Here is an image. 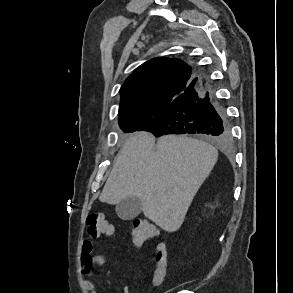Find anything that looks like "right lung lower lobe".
I'll list each match as a JSON object with an SVG mask.
<instances>
[{
    "label": "right lung lower lobe",
    "instance_id": "1",
    "mask_svg": "<svg viewBox=\"0 0 293 293\" xmlns=\"http://www.w3.org/2000/svg\"><path fill=\"white\" fill-rule=\"evenodd\" d=\"M194 79L169 105L136 131H150L159 137L165 134H206L221 143L230 139V129L223 108L199 90Z\"/></svg>",
    "mask_w": 293,
    "mask_h": 293
}]
</instances>
